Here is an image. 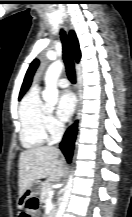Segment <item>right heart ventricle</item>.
<instances>
[{
  "label": "right heart ventricle",
  "mask_w": 132,
  "mask_h": 217,
  "mask_svg": "<svg viewBox=\"0 0 132 217\" xmlns=\"http://www.w3.org/2000/svg\"><path fill=\"white\" fill-rule=\"evenodd\" d=\"M47 109L42 102L38 88L31 89L22 99L19 107V138L26 149H36L44 145Z\"/></svg>",
  "instance_id": "right-heart-ventricle-1"
}]
</instances>
